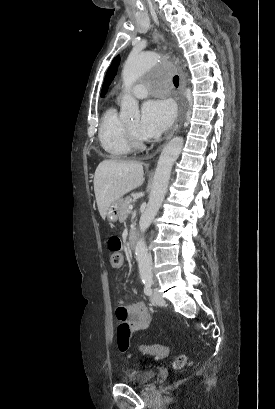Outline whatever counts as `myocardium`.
Listing matches in <instances>:
<instances>
[{
  "label": "myocardium",
  "mask_w": 275,
  "mask_h": 409,
  "mask_svg": "<svg viewBox=\"0 0 275 409\" xmlns=\"http://www.w3.org/2000/svg\"><path fill=\"white\" fill-rule=\"evenodd\" d=\"M125 130H126V136H127V141L128 144L130 145L131 148L136 149V150H141L144 149L148 143L147 140H143L139 138L129 127L128 125H125Z\"/></svg>",
  "instance_id": "f54148a6"
}]
</instances>
